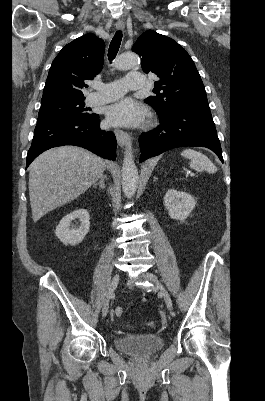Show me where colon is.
Returning <instances> with one entry per match:
<instances>
[{"instance_id":"obj_1","label":"colon","mask_w":265,"mask_h":401,"mask_svg":"<svg viewBox=\"0 0 265 401\" xmlns=\"http://www.w3.org/2000/svg\"><path fill=\"white\" fill-rule=\"evenodd\" d=\"M124 310L122 307H116L112 313V317H120L122 316Z\"/></svg>"}]
</instances>
